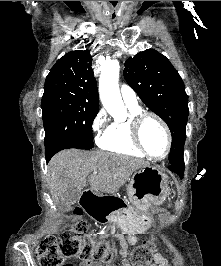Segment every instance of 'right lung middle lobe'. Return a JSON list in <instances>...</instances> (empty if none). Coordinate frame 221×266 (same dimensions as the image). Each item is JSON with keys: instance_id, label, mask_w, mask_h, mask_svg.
I'll list each match as a JSON object with an SVG mask.
<instances>
[{"instance_id": "dd1d6c3e", "label": "right lung middle lobe", "mask_w": 221, "mask_h": 266, "mask_svg": "<svg viewBox=\"0 0 221 266\" xmlns=\"http://www.w3.org/2000/svg\"><path fill=\"white\" fill-rule=\"evenodd\" d=\"M41 107L46 154L94 146L92 123L98 109L90 108L80 98L63 92L44 93Z\"/></svg>"}]
</instances>
